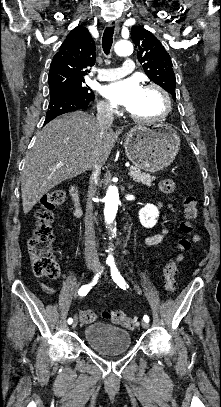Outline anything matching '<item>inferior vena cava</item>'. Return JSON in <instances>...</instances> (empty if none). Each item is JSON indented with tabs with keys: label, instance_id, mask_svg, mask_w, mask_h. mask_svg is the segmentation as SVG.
<instances>
[{
	"label": "inferior vena cava",
	"instance_id": "inferior-vena-cava-1",
	"mask_svg": "<svg viewBox=\"0 0 221 407\" xmlns=\"http://www.w3.org/2000/svg\"><path fill=\"white\" fill-rule=\"evenodd\" d=\"M96 120L101 133L110 128L114 120L112 107L107 103L98 104ZM101 167L102 164L98 156H94L90 164V187L88 191V201L85 214V260L87 263L98 262L99 260L95 242L93 205L91 198L94 195V183L97 182L99 178Z\"/></svg>",
	"mask_w": 221,
	"mask_h": 407
}]
</instances>
